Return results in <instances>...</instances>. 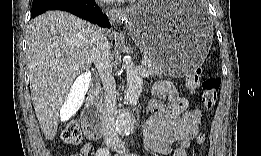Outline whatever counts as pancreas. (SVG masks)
<instances>
[{
    "label": "pancreas",
    "instance_id": "pancreas-1",
    "mask_svg": "<svg viewBox=\"0 0 261 156\" xmlns=\"http://www.w3.org/2000/svg\"><path fill=\"white\" fill-rule=\"evenodd\" d=\"M148 60V64L146 65V68L148 69L150 75L153 76H160L164 73L163 68H161L156 62L155 59L149 55L146 56Z\"/></svg>",
    "mask_w": 261,
    "mask_h": 156
}]
</instances>
